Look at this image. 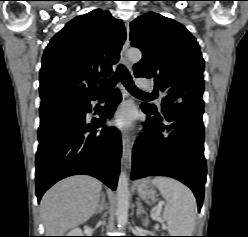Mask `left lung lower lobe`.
Here are the masks:
<instances>
[{"instance_id": "obj_1", "label": "left lung lower lobe", "mask_w": 248, "mask_h": 237, "mask_svg": "<svg viewBox=\"0 0 248 237\" xmlns=\"http://www.w3.org/2000/svg\"><path fill=\"white\" fill-rule=\"evenodd\" d=\"M141 107L151 117L134 145L132 179L157 175L175 178L194 192L200 210L206 180L203 108L179 105L162 118L146 104Z\"/></svg>"}]
</instances>
